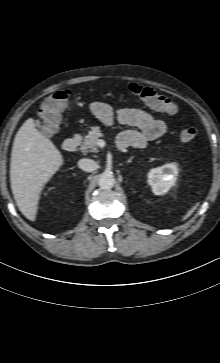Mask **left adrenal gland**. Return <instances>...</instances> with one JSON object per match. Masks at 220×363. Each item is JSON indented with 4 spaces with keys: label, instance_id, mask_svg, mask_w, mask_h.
<instances>
[{
    "label": "left adrenal gland",
    "instance_id": "a2214340",
    "mask_svg": "<svg viewBox=\"0 0 220 363\" xmlns=\"http://www.w3.org/2000/svg\"><path fill=\"white\" fill-rule=\"evenodd\" d=\"M132 159H133V157H131V158L127 161V163H131V162H132Z\"/></svg>",
    "mask_w": 220,
    "mask_h": 363
}]
</instances>
